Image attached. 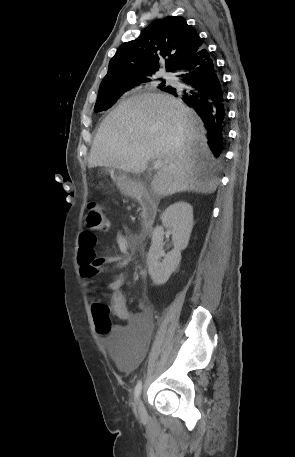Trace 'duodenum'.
Listing matches in <instances>:
<instances>
[{"mask_svg":"<svg viewBox=\"0 0 295 457\" xmlns=\"http://www.w3.org/2000/svg\"><path fill=\"white\" fill-rule=\"evenodd\" d=\"M132 196L139 202L141 206L140 237L142 240H144L153 230L157 215V205L144 188H134L132 191Z\"/></svg>","mask_w":295,"mask_h":457,"instance_id":"duodenum-1","label":"duodenum"}]
</instances>
